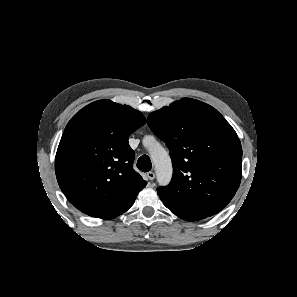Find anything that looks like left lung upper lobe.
Here are the masks:
<instances>
[{"mask_svg": "<svg viewBox=\"0 0 297 297\" xmlns=\"http://www.w3.org/2000/svg\"><path fill=\"white\" fill-rule=\"evenodd\" d=\"M148 126L170 150L173 177L157 188L167 208L192 220L221 211L241 181L242 147L212 106L182 98L149 114Z\"/></svg>", "mask_w": 297, "mask_h": 297, "instance_id": "obj_1", "label": "left lung upper lobe"}]
</instances>
